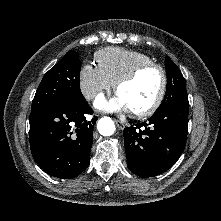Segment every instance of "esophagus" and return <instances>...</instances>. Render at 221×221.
I'll use <instances>...</instances> for the list:
<instances>
[{
	"label": "esophagus",
	"mask_w": 221,
	"mask_h": 221,
	"mask_svg": "<svg viewBox=\"0 0 221 221\" xmlns=\"http://www.w3.org/2000/svg\"><path fill=\"white\" fill-rule=\"evenodd\" d=\"M114 122L116 123V125L118 126L119 129H124L125 128V124L123 122H121L120 120H114Z\"/></svg>",
	"instance_id": "esophagus-1"
}]
</instances>
